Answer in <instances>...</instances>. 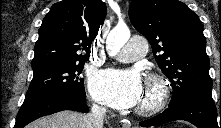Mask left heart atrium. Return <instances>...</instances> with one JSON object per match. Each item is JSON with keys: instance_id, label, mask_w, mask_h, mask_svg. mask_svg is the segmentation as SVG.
Masks as SVG:
<instances>
[{"instance_id": "39dd6f15", "label": "left heart atrium", "mask_w": 221, "mask_h": 128, "mask_svg": "<svg viewBox=\"0 0 221 128\" xmlns=\"http://www.w3.org/2000/svg\"><path fill=\"white\" fill-rule=\"evenodd\" d=\"M90 87L97 100L120 109L136 106L144 91L137 68L97 72L90 80Z\"/></svg>"}]
</instances>
